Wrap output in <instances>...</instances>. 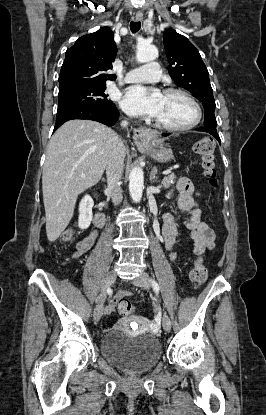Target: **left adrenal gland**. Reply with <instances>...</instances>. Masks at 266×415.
<instances>
[{
	"instance_id": "left-adrenal-gland-1",
	"label": "left adrenal gland",
	"mask_w": 266,
	"mask_h": 415,
	"mask_svg": "<svg viewBox=\"0 0 266 415\" xmlns=\"http://www.w3.org/2000/svg\"><path fill=\"white\" fill-rule=\"evenodd\" d=\"M156 174H157V168L154 167L151 171V174H150L151 183H154L156 181Z\"/></svg>"
}]
</instances>
